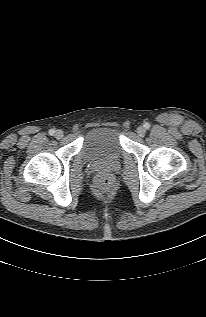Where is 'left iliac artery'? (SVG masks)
<instances>
[{
  "mask_svg": "<svg viewBox=\"0 0 206 317\" xmlns=\"http://www.w3.org/2000/svg\"><path fill=\"white\" fill-rule=\"evenodd\" d=\"M144 127H145V129H149L150 128V124L149 123H145Z\"/></svg>",
  "mask_w": 206,
  "mask_h": 317,
  "instance_id": "left-iliac-artery-1",
  "label": "left iliac artery"
}]
</instances>
